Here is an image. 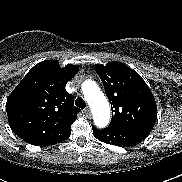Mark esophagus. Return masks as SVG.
<instances>
[{
    "instance_id": "1",
    "label": "esophagus",
    "mask_w": 182,
    "mask_h": 182,
    "mask_svg": "<svg viewBox=\"0 0 182 182\" xmlns=\"http://www.w3.org/2000/svg\"><path fill=\"white\" fill-rule=\"evenodd\" d=\"M84 114H85L86 117L90 118L91 115H92V114H91L90 108H86V109L84 110Z\"/></svg>"
}]
</instances>
